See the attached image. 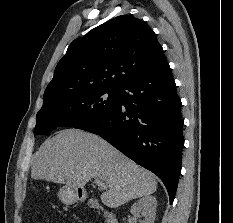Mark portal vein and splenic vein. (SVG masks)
Returning a JSON list of instances; mask_svg holds the SVG:
<instances>
[{
    "mask_svg": "<svg viewBox=\"0 0 233 223\" xmlns=\"http://www.w3.org/2000/svg\"><path fill=\"white\" fill-rule=\"evenodd\" d=\"M94 183H96V185H99V187H103V189H106L107 187L105 181H103V179H99V177H95Z\"/></svg>",
    "mask_w": 233,
    "mask_h": 223,
    "instance_id": "18ae733b",
    "label": "portal vein and splenic vein"
}]
</instances>
